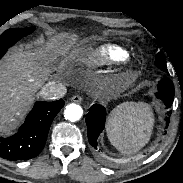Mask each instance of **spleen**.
Here are the masks:
<instances>
[{"label": "spleen", "mask_w": 183, "mask_h": 183, "mask_svg": "<svg viewBox=\"0 0 183 183\" xmlns=\"http://www.w3.org/2000/svg\"><path fill=\"white\" fill-rule=\"evenodd\" d=\"M153 125V112L149 104L124 103L110 113L107 136L120 152L129 154L148 143Z\"/></svg>", "instance_id": "spleen-1"}]
</instances>
